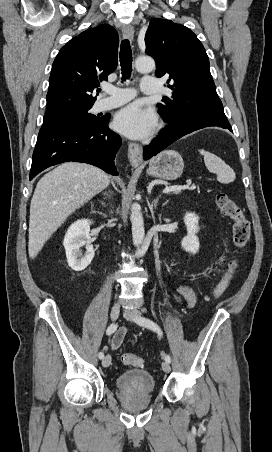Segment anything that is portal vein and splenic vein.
<instances>
[{"label": "portal vein and splenic vein", "instance_id": "portal-vein-and-splenic-vein-1", "mask_svg": "<svg viewBox=\"0 0 272 452\" xmlns=\"http://www.w3.org/2000/svg\"><path fill=\"white\" fill-rule=\"evenodd\" d=\"M191 185V182L187 183L186 185H174V186H169L166 187L162 192L163 193H169V192H173V191H180L182 189H188Z\"/></svg>", "mask_w": 272, "mask_h": 452}]
</instances>
